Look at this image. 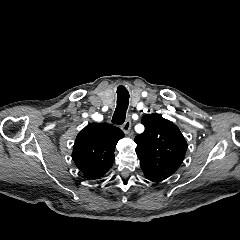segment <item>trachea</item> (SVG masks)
I'll return each instance as SVG.
<instances>
[{
	"label": "trachea",
	"instance_id": "1",
	"mask_svg": "<svg viewBox=\"0 0 240 240\" xmlns=\"http://www.w3.org/2000/svg\"><path fill=\"white\" fill-rule=\"evenodd\" d=\"M117 107L112 117V123L122 125L126 118L129 103V92L124 86L117 88Z\"/></svg>",
	"mask_w": 240,
	"mask_h": 240
}]
</instances>
